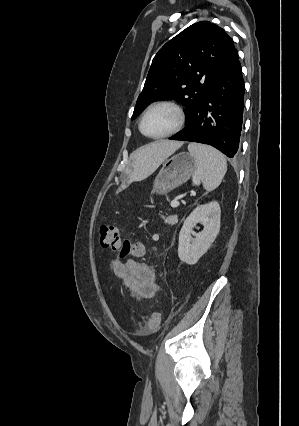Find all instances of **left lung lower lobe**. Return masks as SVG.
<instances>
[{"label":"left lung lower lobe","instance_id":"1","mask_svg":"<svg viewBox=\"0 0 299 426\" xmlns=\"http://www.w3.org/2000/svg\"><path fill=\"white\" fill-rule=\"evenodd\" d=\"M244 80L237 50L217 74L186 127L171 140L211 145L237 155L244 110Z\"/></svg>","mask_w":299,"mask_h":426}]
</instances>
